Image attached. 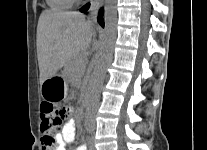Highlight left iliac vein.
Instances as JSON below:
<instances>
[{"instance_id":"obj_1","label":"left iliac vein","mask_w":207,"mask_h":150,"mask_svg":"<svg viewBox=\"0 0 207 150\" xmlns=\"http://www.w3.org/2000/svg\"><path fill=\"white\" fill-rule=\"evenodd\" d=\"M89 150H96L92 141L90 142Z\"/></svg>"}]
</instances>
